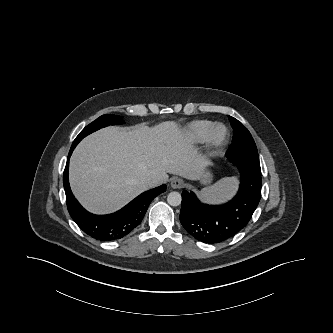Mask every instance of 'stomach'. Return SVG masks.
<instances>
[{
    "label": "stomach",
    "instance_id": "stomach-1",
    "mask_svg": "<svg viewBox=\"0 0 333 333\" xmlns=\"http://www.w3.org/2000/svg\"><path fill=\"white\" fill-rule=\"evenodd\" d=\"M199 180L201 181L202 184H209L212 180V176L209 172L203 171Z\"/></svg>",
    "mask_w": 333,
    "mask_h": 333
}]
</instances>
